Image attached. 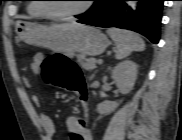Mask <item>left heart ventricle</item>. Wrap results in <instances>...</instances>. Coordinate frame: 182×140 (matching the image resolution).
<instances>
[{
	"label": "left heart ventricle",
	"mask_w": 182,
	"mask_h": 140,
	"mask_svg": "<svg viewBox=\"0 0 182 140\" xmlns=\"http://www.w3.org/2000/svg\"><path fill=\"white\" fill-rule=\"evenodd\" d=\"M50 8L59 13H68L81 9L84 6L82 0H54Z\"/></svg>",
	"instance_id": "b2bd125f"
}]
</instances>
